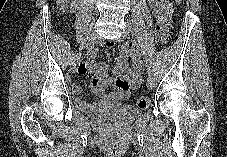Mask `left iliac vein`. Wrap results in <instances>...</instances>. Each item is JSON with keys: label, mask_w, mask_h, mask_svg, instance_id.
I'll use <instances>...</instances> for the list:
<instances>
[{"label": "left iliac vein", "mask_w": 227, "mask_h": 157, "mask_svg": "<svg viewBox=\"0 0 227 157\" xmlns=\"http://www.w3.org/2000/svg\"><path fill=\"white\" fill-rule=\"evenodd\" d=\"M131 31V27L129 25V23L127 24V30L124 32V34L122 35L121 38L118 39V41H124L125 39L128 38L129 36V33ZM147 87L149 89H153L155 87V79L152 75H148V78H147Z\"/></svg>", "instance_id": "4c4485c4"}]
</instances>
